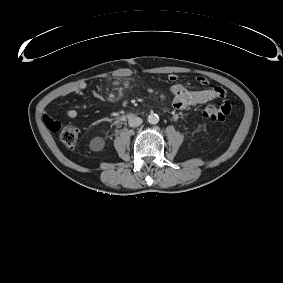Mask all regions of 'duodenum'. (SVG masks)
<instances>
[{"instance_id": "duodenum-1", "label": "duodenum", "mask_w": 283, "mask_h": 283, "mask_svg": "<svg viewBox=\"0 0 283 283\" xmlns=\"http://www.w3.org/2000/svg\"><path fill=\"white\" fill-rule=\"evenodd\" d=\"M132 117H134V115H133V114H131V115H128V118H132Z\"/></svg>"}]
</instances>
